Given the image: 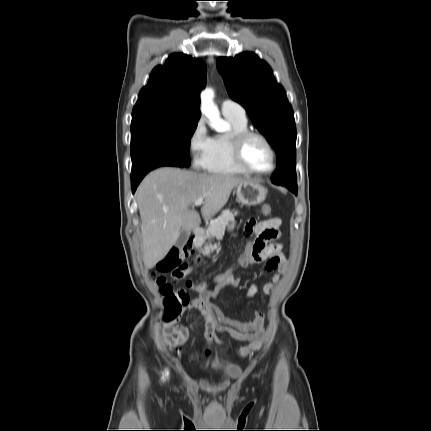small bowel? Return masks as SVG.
<instances>
[{
    "mask_svg": "<svg viewBox=\"0 0 431 431\" xmlns=\"http://www.w3.org/2000/svg\"><path fill=\"white\" fill-rule=\"evenodd\" d=\"M281 220L272 218L265 221L250 220L245 226L244 234L246 237H254L253 255L244 260L243 268L253 265H263V268L268 273H274L279 270L284 262L283 245L279 242ZM233 266V264L231 265ZM233 276H231V268L228 265L223 267V271L219 270L213 275L210 281H203L197 284L187 281L186 285L199 295L193 298L190 302L198 301V297L211 298V303H206V307L194 308L202 311L206 321L205 338L207 346L199 352L191 356L192 359L202 357L208 358L211 355L213 347L225 354L227 351H235L239 356H247L258 351L264 341L265 336V315L261 312L253 314V321L250 323H242L225 317L214 304V300L220 293L229 287H237L240 284V278L236 275L237 268L233 266ZM231 276V277H230ZM226 281V279H228ZM277 277L274 276L272 282L266 283L262 287L265 294H271L274 290ZM213 284L211 289H208L210 284ZM258 291V286L253 284L247 289L246 296L251 298ZM190 309V308H188ZM218 332H230L239 339L249 341V344L240 348H233L230 345L222 342L218 337ZM189 337L188 329L185 326L179 325L178 320L174 319L162 327V338L165 347L170 351H181L183 345ZM219 360H214L213 365H218Z\"/></svg>",
    "mask_w": 431,
    "mask_h": 431,
    "instance_id": "c3829d8e",
    "label": "small bowel"
}]
</instances>
